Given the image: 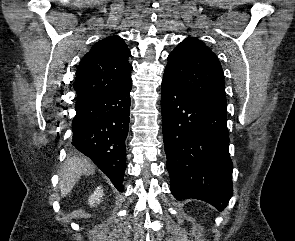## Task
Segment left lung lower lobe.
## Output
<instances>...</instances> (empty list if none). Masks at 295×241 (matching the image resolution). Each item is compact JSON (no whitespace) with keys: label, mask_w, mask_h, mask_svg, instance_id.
Wrapping results in <instances>:
<instances>
[{"label":"left lung lower lobe","mask_w":295,"mask_h":241,"mask_svg":"<svg viewBox=\"0 0 295 241\" xmlns=\"http://www.w3.org/2000/svg\"><path fill=\"white\" fill-rule=\"evenodd\" d=\"M162 126L171 192L222 211L232 197L227 111L196 98L164 74Z\"/></svg>","instance_id":"obj_1"}]
</instances>
